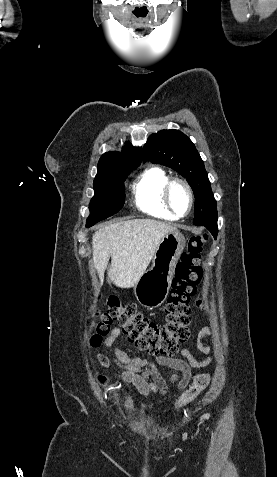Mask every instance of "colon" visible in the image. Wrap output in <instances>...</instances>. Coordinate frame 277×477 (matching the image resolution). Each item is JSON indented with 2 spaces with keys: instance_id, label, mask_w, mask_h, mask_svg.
<instances>
[{
  "instance_id": "colon-1",
  "label": "colon",
  "mask_w": 277,
  "mask_h": 477,
  "mask_svg": "<svg viewBox=\"0 0 277 477\" xmlns=\"http://www.w3.org/2000/svg\"><path fill=\"white\" fill-rule=\"evenodd\" d=\"M206 242L204 235L192 236L175 269L167 304L166 322L159 325L141 314L134 304H123L117 297H110L104 309L97 310L91 336L92 345H98L113 322L139 349L152 355L173 356L179 345L190 337V301L202 278L201 253ZM100 382L105 383L101 376ZM208 374H198L192 386L177 400V407L193 401L209 384ZM107 393L110 389H106Z\"/></svg>"
}]
</instances>
